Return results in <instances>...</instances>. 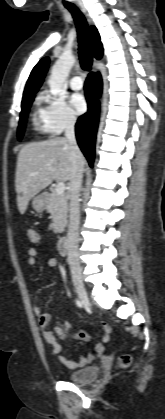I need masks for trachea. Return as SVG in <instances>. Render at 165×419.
Masks as SVG:
<instances>
[{"label": "trachea", "mask_w": 165, "mask_h": 419, "mask_svg": "<svg viewBox=\"0 0 165 419\" xmlns=\"http://www.w3.org/2000/svg\"><path fill=\"white\" fill-rule=\"evenodd\" d=\"M66 8L72 14L76 24L81 67L84 70H90L92 66V54L87 21L82 12L76 6H66Z\"/></svg>", "instance_id": "obj_1"}]
</instances>
